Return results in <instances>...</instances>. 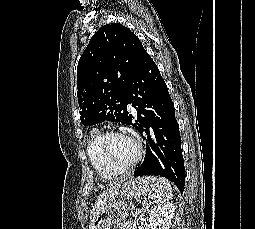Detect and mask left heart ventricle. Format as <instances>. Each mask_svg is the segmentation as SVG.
<instances>
[{
	"label": "left heart ventricle",
	"mask_w": 255,
	"mask_h": 229,
	"mask_svg": "<svg viewBox=\"0 0 255 229\" xmlns=\"http://www.w3.org/2000/svg\"><path fill=\"white\" fill-rule=\"evenodd\" d=\"M105 157L115 165L129 163L136 154V145L125 136H114L106 140L103 147Z\"/></svg>",
	"instance_id": "b2bd125f"
}]
</instances>
